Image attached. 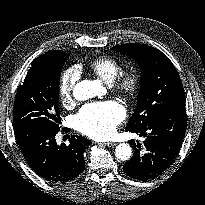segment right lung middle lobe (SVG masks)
Segmentation results:
<instances>
[{
  "label": "right lung middle lobe",
  "instance_id": "1",
  "mask_svg": "<svg viewBox=\"0 0 205 205\" xmlns=\"http://www.w3.org/2000/svg\"><path fill=\"white\" fill-rule=\"evenodd\" d=\"M68 54L31 67L18 87L14 102V128L41 126L59 130V81Z\"/></svg>",
  "mask_w": 205,
  "mask_h": 205
}]
</instances>
